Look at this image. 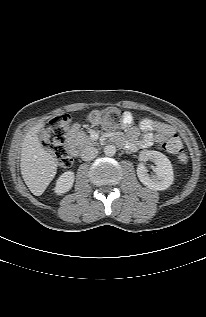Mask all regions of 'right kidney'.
I'll return each instance as SVG.
<instances>
[{
    "label": "right kidney",
    "mask_w": 206,
    "mask_h": 317,
    "mask_svg": "<svg viewBox=\"0 0 206 317\" xmlns=\"http://www.w3.org/2000/svg\"><path fill=\"white\" fill-rule=\"evenodd\" d=\"M74 172L66 171L57 180L55 192L60 195L68 192L74 183Z\"/></svg>",
    "instance_id": "obj_1"
}]
</instances>
